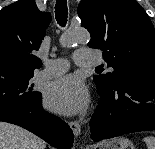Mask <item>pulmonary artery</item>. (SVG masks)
<instances>
[{"instance_id":"e3ab8cb5","label":"pulmonary artery","mask_w":155,"mask_h":149,"mask_svg":"<svg viewBox=\"0 0 155 149\" xmlns=\"http://www.w3.org/2000/svg\"><path fill=\"white\" fill-rule=\"evenodd\" d=\"M73 59L78 66H94L100 63V57L94 51L87 48L77 49ZM45 64V69L40 73L42 78L59 76L64 74L69 68L68 61L63 58L48 60Z\"/></svg>"}]
</instances>
